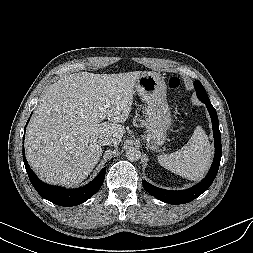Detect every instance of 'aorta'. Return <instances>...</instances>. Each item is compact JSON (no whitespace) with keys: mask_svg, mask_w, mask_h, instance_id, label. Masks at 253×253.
I'll return each mask as SVG.
<instances>
[{"mask_svg":"<svg viewBox=\"0 0 253 253\" xmlns=\"http://www.w3.org/2000/svg\"><path fill=\"white\" fill-rule=\"evenodd\" d=\"M126 157L129 161H138L141 157V152L136 147H129L126 151Z\"/></svg>","mask_w":253,"mask_h":253,"instance_id":"obj_1","label":"aorta"}]
</instances>
